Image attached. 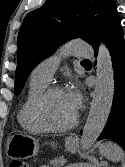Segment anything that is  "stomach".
I'll use <instances>...</instances> for the list:
<instances>
[{
    "instance_id": "1",
    "label": "stomach",
    "mask_w": 125,
    "mask_h": 167,
    "mask_svg": "<svg viewBox=\"0 0 125 167\" xmlns=\"http://www.w3.org/2000/svg\"><path fill=\"white\" fill-rule=\"evenodd\" d=\"M66 149L75 152L78 148V142L66 141ZM39 151L38 141L24 133L12 134L7 139L6 154L11 158H30L37 155Z\"/></svg>"
}]
</instances>
